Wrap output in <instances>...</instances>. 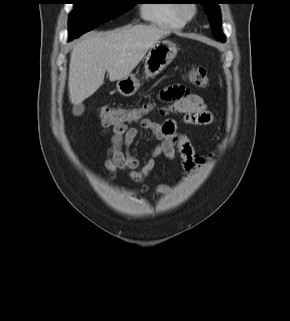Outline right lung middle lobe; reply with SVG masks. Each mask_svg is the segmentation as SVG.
<instances>
[{"instance_id": "1", "label": "right lung middle lobe", "mask_w": 290, "mask_h": 321, "mask_svg": "<svg viewBox=\"0 0 290 321\" xmlns=\"http://www.w3.org/2000/svg\"><path fill=\"white\" fill-rule=\"evenodd\" d=\"M69 41L131 9L135 0H72Z\"/></svg>"}]
</instances>
